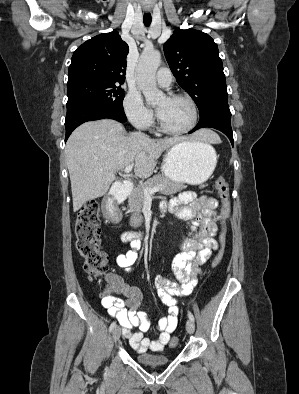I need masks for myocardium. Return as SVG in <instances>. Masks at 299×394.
<instances>
[{"mask_svg": "<svg viewBox=\"0 0 299 394\" xmlns=\"http://www.w3.org/2000/svg\"><path fill=\"white\" fill-rule=\"evenodd\" d=\"M167 98L171 99V100H185L186 102H188L192 108V113H193L192 122L186 128L172 129V128L167 127L164 124L161 117L157 113V123H158L159 129L161 131H163L164 133L171 134V135L186 134V133L190 132L191 130H193L197 125L198 117H199L198 107H197L195 101L190 96L185 95V94H169V95H167Z\"/></svg>", "mask_w": 299, "mask_h": 394, "instance_id": "myocardium-1", "label": "myocardium"}]
</instances>
